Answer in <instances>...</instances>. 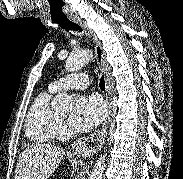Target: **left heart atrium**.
Here are the masks:
<instances>
[{"label": "left heart atrium", "mask_w": 183, "mask_h": 179, "mask_svg": "<svg viewBox=\"0 0 183 179\" xmlns=\"http://www.w3.org/2000/svg\"><path fill=\"white\" fill-rule=\"evenodd\" d=\"M105 116V106L102 100L95 96H80L75 103L69 118L70 126L78 132L94 129Z\"/></svg>", "instance_id": "39dd6f15"}]
</instances>
